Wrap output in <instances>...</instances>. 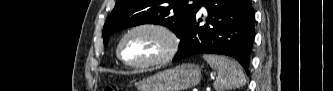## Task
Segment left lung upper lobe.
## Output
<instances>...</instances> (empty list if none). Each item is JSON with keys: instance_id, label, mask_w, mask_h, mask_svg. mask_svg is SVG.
<instances>
[{"instance_id": "left-lung-upper-lobe-1", "label": "left lung upper lobe", "mask_w": 333, "mask_h": 91, "mask_svg": "<svg viewBox=\"0 0 333 91\" xmlns=\"http://www.w3.org/2000/svg\"><path fill=\"white\" fill-rule=\"evenodd\" d=\"M201 1L117 0L104 25V45L115 32L145 23L167 26L180 37Z\"/></svg>"}]
</instances>
